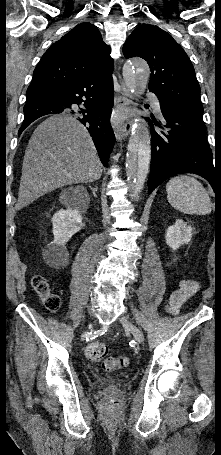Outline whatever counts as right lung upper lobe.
<instances>
[{
    "instance_id": "1",
    "label": "right lung upper lobe",
    "mask_w": 221,
    "mask_h": 455,
    "mask_svg": "<svg viewBox=\"0 0 221 455\" xmlns=\"http://www.w3.org/2000/svg\"><path fill=\"white\" fill-rule=\"evenodd\" d=\"M99 70L111 75L110 47L95 25L78 24L44 53L34 70L27 100L47 95L73 79Z\"/></svg>"
}]
</instances>
